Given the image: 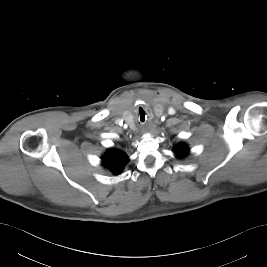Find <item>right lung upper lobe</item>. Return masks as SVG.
Wrapping results in <instances>:
<instances>
[{"instance_id":"obj_1","label":"right lung upper lobe","mask_w":267,"mask_h":267,"mask_svg":"<svg viewBox=\"0 0 267 267\" xmlns=\"http://www.w3.org/2000/svg\"><path fill=\"white\" fill-rule=\"evenodd\" d=\"M129 157L119 149L110 148L102 157V165L114 175L122 173Z\"/></svg>"}]
</instances>
